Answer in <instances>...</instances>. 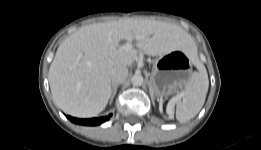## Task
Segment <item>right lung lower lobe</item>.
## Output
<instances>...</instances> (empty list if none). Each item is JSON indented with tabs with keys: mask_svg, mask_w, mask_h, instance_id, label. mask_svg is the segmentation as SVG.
<instances>
[{
	"mask_svg": "<svg viewBox=\"0 0 261 150\" xmlns=\"http://www.w3.org/2000/svg\"><path fill=\"white\" fill-rule=\"evenodd\" d=\"M110 116L111 115L101 117V118H91V119H77L72 117H68V118L76 124L94 126V125L102 124L103 122L107 121L110 118Z\"/></svg>",
	"mask_w": 261,
	"mask_h": 150,
	"instance_id": "98d812e1",
	"label": "right lung lower lobe"
}]
</instances>
